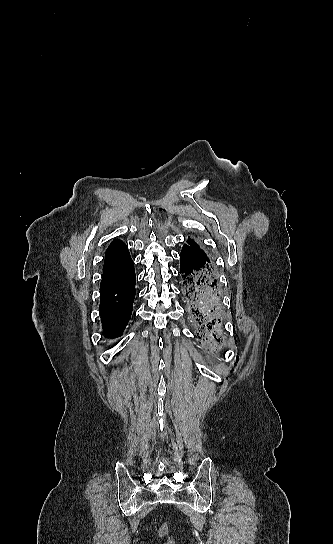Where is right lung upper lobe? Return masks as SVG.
Returning a JSON list of instances; mask_svg holds the SVG:
<instances>
[{
  "label": "right lung upper lobe",
  "instance_id": "obj_1",
  "mask_svg": "<svg viewBox=\"0 0 333 544\" xmlns=\"http://www.w3.org/2000/svg\"><path fill=\"white\" fill-rule=\"evenodd\" d=\"M132 263L128 248L121 240L115 239L105 253L102 281H106L125 270Z\"/></svg>",
  "mask_w": 333,
  "mask_h": 544
}]
</instances>
